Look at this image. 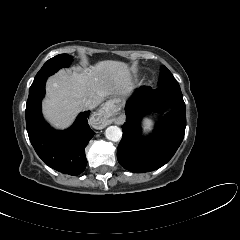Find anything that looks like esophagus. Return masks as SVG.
Listing matches in <instances>:
<instances>
[{
    "instance_id": "obj_1",
    "label": "esophagus",
    "mask_w": 240,
    "mask_h": 240,
    "mask_svg": "<svg viewBox=\"0 0 240 240\" xmlns=\"http://www.w3.org/2000/svg\"><path fill=\"white\" fill-rule=\"evenodd\" d=\"M115 111V100H109L106 104L99 110L96 114V119L99 121L101 126L105 127L112 123V120L109 119Z\"/></svg>"
}]
</instances>
